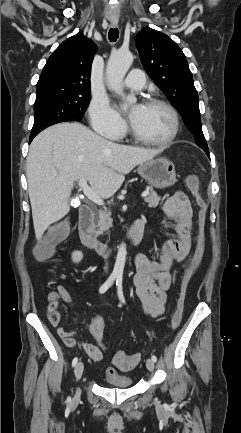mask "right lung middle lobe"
Returning <instances> with one entry per match:
<instances>
[{"instance_id":"dd1d6c3e","label":"right lung middle lobe","mask_w":241,"mask_h":433,"mask_svg":"<svg viewBox=\"0 0 241 433\" xmlns=\"http://www.w3.org/2000/svg\"><path fill=\"white\" fill-rule=\"evenodd\" d=\"M88 95H50L36 98L35 121L30 135L56 123L80 121L89 103Z\"/></svg>"}]
</instances>
